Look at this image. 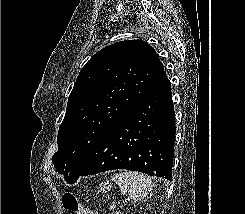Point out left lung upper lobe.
<instances>
[{
    "label": "left lung upper lobe",
    "mask_w": 245,
    "mask_h": 214,
    "mask_svg": "<svg viewBox=\"0 0 245 214\" xmlns=\"http://www.w3.org/2000/svg\"><path fill=\"white\" fill-rule=\"evenodd\" d=\"M155 50L125 40L97 52L81 69L68 98L52 162L68 173L107 130L167 80Z\"/></svg>",
    "instance_id": "1"
}]
</instances>
